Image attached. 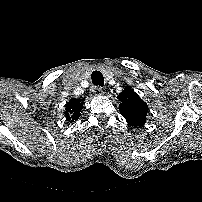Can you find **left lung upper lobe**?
Masks as SVG:
<instances>
[{
  "instance_id": "obj_1",
  "label": "left lung upper lobe",
  "mask_w": 202,
  "mask_h": 202,
  "mask_svg": "<svg viewBox=\"0 0 202 202\" xmlns=\"http://www.w3.org/2000/svg\"><path fill=\"white\" fill-rule=\"evenodd\" d=\"M117 98L121 101L119 104L120 113L129 125L136 127L146 122L148 106L134 90L125 87Z\"/></svg>"
}]
</instances>
